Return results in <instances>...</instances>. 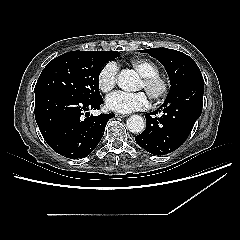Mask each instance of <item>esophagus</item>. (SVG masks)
<instances>
[{"label":"esophagus","mask_w":240,"mask_h":240,"mask_svg":"<svg viewBox=\"0 0 240 240\" xmlns=\"http://www.w3.org/2000/svg\"><path fill=\"white\" fill-rule=\"evenodd\" d=\"M115 116H116V117H119V118L128 117V115H123V114H119V113H116Z\"/></svg>","instance_id":"1"}]
</instances>
